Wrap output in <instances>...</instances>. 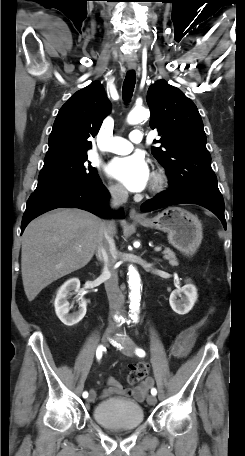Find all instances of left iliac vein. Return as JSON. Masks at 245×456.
Returning <instances> with one entry per match:
<instances>
[{
  "label": "left iliac vein",
  "instance_id": "1",
  "mask_svg": "<svg viewBox=\"0 0 245 456\" xmlns=\"http://www.w3.org/2000/svg\"><path fill=\"white\" fill-rule=\"evenodd\" d=\"M121 352L126 355V356H134L135 353V344L132 342L127 343L122 349ZM147 402L149 405H155L157 402V399L154 395H149L147 397Z\"/></svg>",
  "mask_w": 245,
  "mask_h": 456
}]
</instances>
